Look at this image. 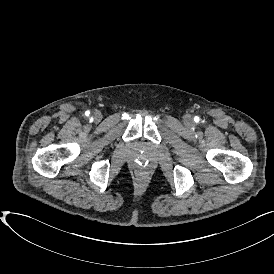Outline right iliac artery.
I'll return each instance as SVG.
<instances>
[{"label":"right iliac artery","mask_w":274,"mask_h":274,"mask_svg":"<svg viewBox=\"0 0 274 274\" xmlns=\"http://www.w3.org/2000/svg\"><path fill=\"white\" fill-rule=\"evenodd\" d=\"M85 114H86L87 116H89L90 112H89V111H86Z\"/></svg>","instance_id":"82829eb1"}]
</instances>
